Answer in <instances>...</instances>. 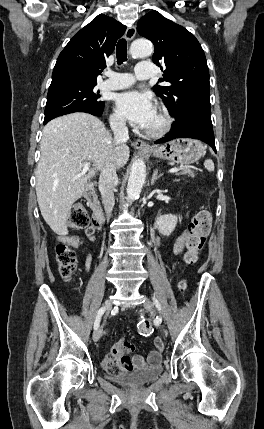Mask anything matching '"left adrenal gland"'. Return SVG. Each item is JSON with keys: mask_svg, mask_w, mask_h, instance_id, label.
Segmentation results:
<instances>
[{"mask_svg": "<svg viewBox=\"0 0 264 429\" xmlns=\"http://www.w3.org/2000/svg\"><path fill=\"white\" fill-rule=\"evenodd\" d=\"M161 176H162V174L158 175V170H157V169H155V170L153 171V174H152V178H151V185H153V184H154V182H155L158 178H160Z\"/></svg>", "mask_w": 264, "mask_h": 429, "instance_id": "1", "label": "left adrenal gland"}]
</instances>
